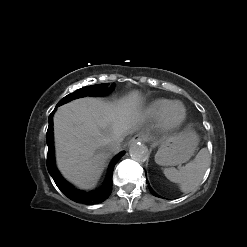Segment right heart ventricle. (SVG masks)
Listing matches in <instances>:
<instances>
[{"label":"right heart ventricle","instance_id":"e07e8e85","mask_svg":"<svg viewBox=\"0 0 247 247\" xmlns=\"http://www.w3.org/2000/svg\"><path fill=\"white\" fill-rule=\"evenodd\" d=\"M172 103L169 99H156L152 101L145 110V115L150 120L159 119L162 112Z\"/></svg>","mask_w":247,"mask_h":247}]
</instances>
